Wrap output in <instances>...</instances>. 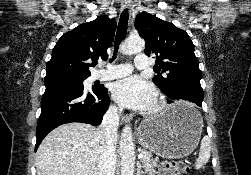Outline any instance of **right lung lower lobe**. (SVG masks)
<instances>
[{
	"instance_id": "1",
	"label": "right lung lower lobe",
	"mask_w": 251,
	"mask_h": 175,
	"mask_svg": "<svg viewBox=\"0 0 251 175\" xmlns=\"http://www.w3.org/2000/svg\"><path fill=\"white\" fill-rule=\"evenodd\" d=\"M45 86L35 151L43 138L62 124L83 122L99 125L109 107L108 91L103 85L94 88L92 92L85 91L83 83L49 81Z\"/></svg>"
}]
</instances>
